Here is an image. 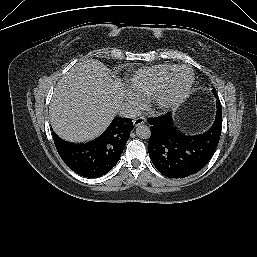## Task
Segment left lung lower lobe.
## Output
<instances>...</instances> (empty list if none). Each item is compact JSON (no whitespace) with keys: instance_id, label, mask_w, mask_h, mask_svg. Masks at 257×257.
Masks as SVG:
<instances>
[{"instance_id":"left-lung-lower-lobe-1","label":"left lung lower lobe","mask_w":257,"mask_h":257,"mask_svg":"<svg viewBox=\"0 0 257 257\" xmlns=\"http://www.w3.org/2000/svg\"><path fill=\"white\" fill-rule=\"evenodd\" d=\"M213 124L204 132L189 135L175 124L172 114L148 118L151 136L150 159L156 169L168 178H184L200 171L213 156L221 136L222 107L216 100Z\"/></svg>"}]
</instances>
